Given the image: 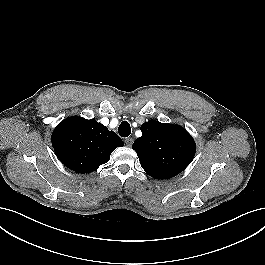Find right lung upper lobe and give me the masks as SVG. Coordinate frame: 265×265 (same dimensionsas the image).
<instances>
[{"instance_id":"1","label":"right lung upper lobe","mask_w":265,"mask_h":265,"mask_svg":"<svg viewBox=\"0 0 265 265\" xmlns=\"http://www.w3.org/2000/svg\"><path fill=\"white\" fill-rule=\"evenodd\" d=\"M124 143L113 131L81 117H69L54 129L52 146L60 161L78 173H90L108 162L110 154Z\"/></svg>"}]
</instances>
